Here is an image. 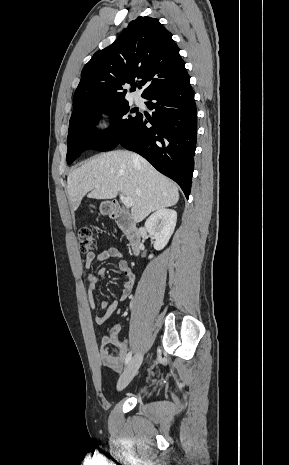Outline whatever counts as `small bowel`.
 I'll return each instance as SVG.
<instances>
[{
  "mask_svg": "<svg viewBox=\"0 0 289 465\" xmlns=\"http://www.w3.org/2000/svg\"><path fill=\"white\" fill-rule=\"evenodd\" d=\"M109 258H118V269L125 277V282L122 286L119 298L108 302L103 300L100 304L102 310H105L104 315H96L95 322L99 325L104 324L105 322L111 320V317L116 310L120 301H124L129 296L133 285L135 275L130 269L127 261L123 258L121 253L115 248L110 247L107 249H101L98 252H88L86 255L85 267L89 269L93 263L102 262ZM105 277V270L99 269L96 272H90L86 276L88 283V299L90 307L95 308V302L93 298V293L96 290L97 284ZM121 327L116 324L113 325L108 332L101 339V347L99 349V357L104 365L112 369L113 371H120L123 365V362L126 359L127 343L122 341L119 338ZM111 346L116 347L117 352L113 353Z\"/></svg>",
  "mask_w": 289,
  "mask_h": 465,
  "instance_id": "obj_1",
  "label": "small bowel"
}]
</instances>
